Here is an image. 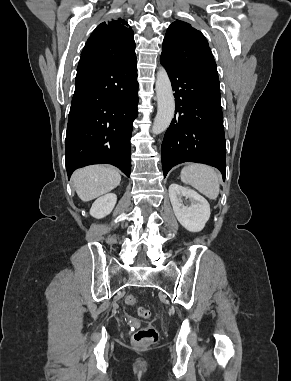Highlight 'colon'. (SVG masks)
Wrapping results in <instances>:
<instances>
[{
	"label": "colon",
	"mask_w": 291,
	"mask_h": 381,
	"mask_svg": "<svg viewBox=\"0 0 291 381\" xmlns=\"http://www.w3.org/2000/svg\"><path fill=\"white\" fill-rule=\"evenodd\" d=\"M137 299L133 295H128L125 298V303L127 305L136 304ZM138 314L142 318H150L151 312L145 308L140 307L138 309ZM158 340V332L154 327H146L136 331L133 335V343L137 346H149L154 344Z\"/></svg>",
	"instance_id": "5ec220e1"
}]
</instances>
